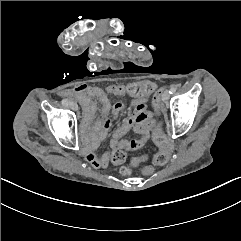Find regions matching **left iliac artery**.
Here are the masks:
<instances>
[{
    "label": "left iliac artery",
    "mask_w": 241,
    "mask_h": 241,
    "mask_svg": "<svg viewBox=\"0 0 241 241\" xmlns=\"http://www.w3.org/2000/svg\"><path fill=\"white\" fill-rule=\"evenodd\" d=\"M176 91V87L172 86L169 90L170 94H173Z\"/></svg>",
    "instance_id": "44dca946"
}]
</instances>
